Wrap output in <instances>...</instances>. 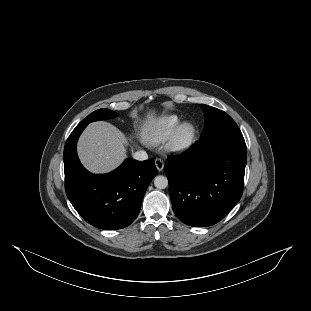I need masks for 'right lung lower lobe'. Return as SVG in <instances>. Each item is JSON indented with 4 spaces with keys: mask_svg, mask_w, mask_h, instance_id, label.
Returning a JSON list of instances; mask_svg holds the SVG:
<instances>
[{
    "mask_svg": "<svg viewBox=\"0 0 311 311\" xmlns=\"http://www.w3.org/2000/svg\"><path fill=\"white\" fill-rule=\"evenodd\" d=\"M87 125L78 124L64 147L65 190L75 210L91 225L121 229L137 217L149 183L157 174L154 159H126L108 174H92L80 163L76 143Z\"/></svg>",
    "mask_w": 311,
    "mask_h": 311,
    "instance_id": "98d812e1",
    "label": "right lung lower lobe"
}]
</instances>
